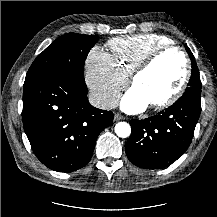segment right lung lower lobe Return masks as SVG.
Wrapping results in <instances>:
<instances>
[{
	"mask_svg": "<svg viewBox=\"0 0 217 217\" xmlns=\"http://www.w3.org/2000/svg\"><path fill=\"white\" fill-rule=\"evenodd\" d=\"M85 83L58 71L24 83L22 120L37 158L58 172L85 166L98 135L113 123L111 111L90 105Z\"/></svg>",
	"mask_w": 217,
	"mask_h": 217,
	"instance_id": "1",
	"label": "right lung lower lobe"
}]
</instances>
